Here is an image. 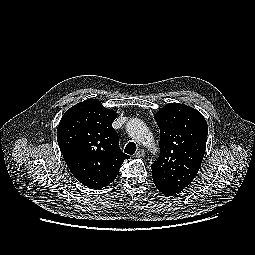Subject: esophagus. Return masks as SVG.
<instances>
[{
	"mask_svg": "<svg viewBox=\"0 0 255 255\" xmlns=\"http://www.w3.org/2000/svg\"><path fill=\"white\" fill-rule=\"evenodd\" d=\"M135 157L137 158H144L145 157V151L143 149H140L139 151H137V153L135 154Z\"/></svg>",
	"mask_w": 255,
	"mask_h": 255,
	"instance_id": "obj_1",
	"label": "esophagus"
}]
</instances>
